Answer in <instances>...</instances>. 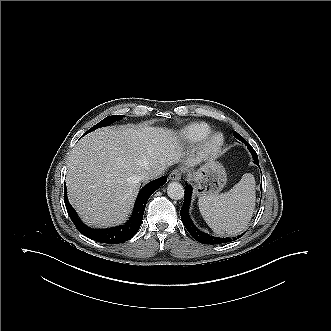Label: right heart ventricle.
<instances>
[{
	"label": "right heart ventricle",
	"mask_w": 331,
	"mask_h": 331,
	"mask_svg": "<svg viewBox=\"0 0 331 331\" xmlns=\"http://www.w3.org/2000/svg\"><path fill=\"white\" fill-rule=\"evenodd\" d=\"M211 133V127L204 122H193L184 126L180 132L182 139L189 144L202 142Z\"/></svg>",
	"instance_id": "e07e8e85"
}]
</instances>
